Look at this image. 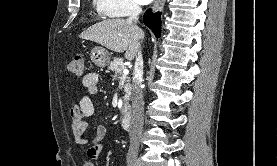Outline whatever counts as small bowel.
<instances>
[{
    "instance_id": "c3829d8e",
    "label": "small bowel",
    "mask_w": 277,
    "mask_h": 166,
    "mask_svg": "<svg viewBox=\"0 0 277 166\" xmlns=\"http://www.w3.org/2000/svg\"><path fill=\"white\" fill-rule=\"evenodd\" d=\"M98 75L88 73L83 77L82 85L84 93L77 103L70 108L71 131L78 149L85 153L87 160L83 166H96L101 153V142L105 138L107 129L104 126H98L95 129L91 139L85 137L87 129L86 119L94 114V104L91 96L98 91Z\"/></svg>"
}]
</instances>
